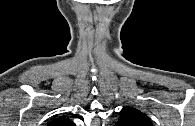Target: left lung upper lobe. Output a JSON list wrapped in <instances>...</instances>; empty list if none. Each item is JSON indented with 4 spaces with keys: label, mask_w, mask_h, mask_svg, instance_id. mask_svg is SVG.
<instances>
[{
    "label": "left lung upper lobe",
    "mask_w": 195,
    "mask_h": 126,
    "mask_svg": "<svg viewBox=\"0 0 195 126\" xmlns=\"http://www.w3.org/2000/svg\"><path fill=\"white\" fill-rule=\"evenodd\" d=\"M118 126H153L150 118L140 110L126 106L120 111Z\"/></svg>",
    "instance_id": "obj_1"
}]
</instances>
